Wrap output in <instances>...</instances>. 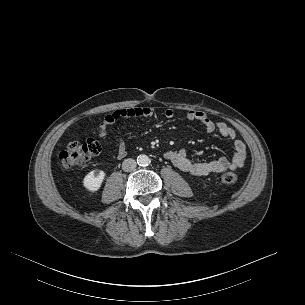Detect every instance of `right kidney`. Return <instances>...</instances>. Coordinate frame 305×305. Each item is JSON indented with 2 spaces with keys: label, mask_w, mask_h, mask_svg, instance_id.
I'll use <instances>...</instances> for the list:
<instances>
[{
  "label": "right kidney",
  "mask_w": 305,
  "mask_h": 305,
  "mask_svg": "<svg viewBox=\"0 0 305 305\" xmlns=\"http://www.w3.org/2000/svg\"><path fill=\"white\" fill-rule=\"evenodd\" d=\"M105 173L102 170H92L89 172L83 180V186L91 192H96L100 189L104 180Z\"/></svg>",
  "instance_id": "right-kidney-1"
}]
</instances>
